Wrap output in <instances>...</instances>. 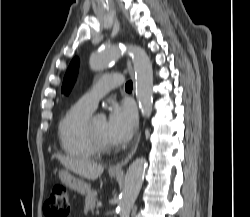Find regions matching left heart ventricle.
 I'll return each mask as SVG.
<instances>
[{"label": "left heart ventricle", "mask_w": 250, "mask_h": 217, "mask_svg": "<svg viewBox=\"0 0 250 217\" xmlns=\"http://www.w3.org/2000/svg\"><path fill=\"white\" fill-rule=\"evenodd\" d=\"M93 129L98 135V137L107 144H112L108 138L107 134V121L103 117H94L93 118Z\"/></svg>", "instance_id": "b2bd125f"}]
</instances>
